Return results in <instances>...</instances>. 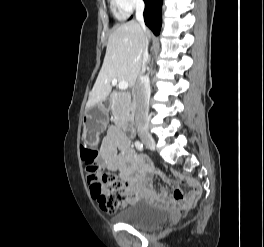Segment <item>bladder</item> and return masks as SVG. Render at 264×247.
<instances>
[{"label":"bladder","instance_id":"31cf9c89","mask_svg":"<svg viewBox=\"0 0 264 247\" xmlns=\"http://www.w3.org/2000/svg\"><path fill=\"white\" fill-rule=\"evenodd\" d=\"M168 215V211L162 207L135 200L118 212L115 219L138 229L152 230L163 226L168 221Z\"/></svg>","mask_w":264,"mask_h":247}]
</instances>
